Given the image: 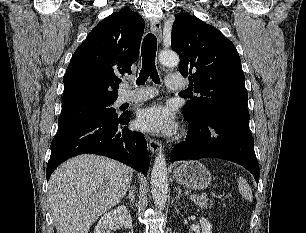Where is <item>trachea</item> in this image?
Listing matches in <instances>:
<instances>
[{"label": "trachea", "instance_id": "obj_1", "mask_svg": "<svg viewBox=\"0 0 306 233\" xmlns=\"http://www.w3.org/2000/svg\"><path fill=\"white\" fill-rule=\"evenodd\" d=\"M157 50V39L155 35L149 33L145 36L141 55H142V69L137 79V85H142L145 83L147 78L150 76L155 83H159L160 79L155 66V56ZM185 93V92H181Z\"/></svg>", "mask_w": 306, "mask_h": 233}]
</instances>
